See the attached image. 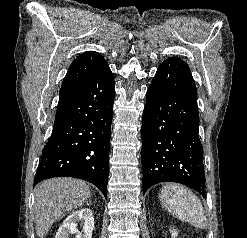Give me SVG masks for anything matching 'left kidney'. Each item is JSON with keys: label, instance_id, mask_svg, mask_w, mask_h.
Wrapping results in <instances>:
<instances>
[{"label": "left kidney", "instance_id": "obj_1", "mask_svg": "<svg viewBox=\"0 0 247 238\" xmlns=\"http://www.w3.org/2000/svg\"><path fill=\"white\" fill-rule=\"evenodd\" d=\"M171 234H172V238H175L178 235V231L176 229H172L170 230Z\"/></svg>", "mask_w": 247, "mask_h": 238}]
</instances>
